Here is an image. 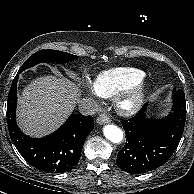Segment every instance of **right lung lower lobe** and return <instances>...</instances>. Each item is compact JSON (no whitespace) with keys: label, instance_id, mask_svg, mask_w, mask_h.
<instances>
[{"label":"right lung lower lobe","instance_id":"1","mask_svg":"<svg viewBox=\"0 0 194 194\" xmlns=\"http://www.w3.org/2000/svg\"><path fill=\"white\" fill-rule=\"evenodd\" d=\"M14 78L7 101V124L10 137L22 157L35 168L50 172L70 171L78 163L84 141L94 128L91 116L72 114L54 133L44 138L26 136L16 124V86Z\"/></svg>","mask_w":194,"mask_h":194}]
</instances>
